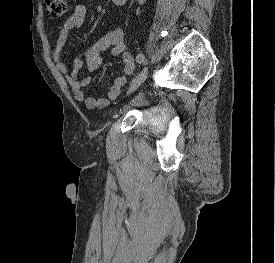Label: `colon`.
<instances>
[{
	"instance_id": "obj_1",
	"label": "colon",
	"mask_w": 275,
	"mask_h": 263,
	"mask_svg": "<svg viewBox=\"0 0 275 263\" xmlns=\"http://www.w3.org/2000/svg\"><path fill=\"white\" fill-rule=\"evenodd\" d=\"M47 12L53 17H61L69 10V0H44Z\"/></svg>"
}]
</instances>
